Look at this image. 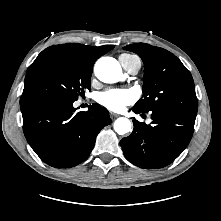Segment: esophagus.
Returning <instances> with one entry per match:
<instances>
[{
	"label": "esophagus",
	"mask_w": 221,
	"mask_h": 221,
	"mask_svg": "<svg viewBox=\"0 0 221 221\" xmlns=\"http://www.w3.org/2000/svg\"><path fill=\"white\" fill-rule=\"evenodd\" d=\"M110 116L112 119H115L116 117H118L119 115L114 113V112H110Z\"/></svg>",
	"instance_id": "obj_1"
}]
</instances>
